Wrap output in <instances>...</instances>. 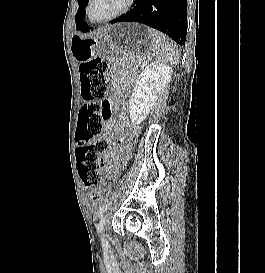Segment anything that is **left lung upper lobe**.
Returning a JSON list of instances; mask_svg holds the SVG:
<instances>
[{"instance_id":"obj_1","label":"left lung upper lobe","mask_w":265,"mask_h":273,"mask_svg":"<svg viewBox=\"0 0 265 273\" xmlns=\"http://www.w3.org/2000/svg\"><path fill=\"white\" fill-rule=\"evenodd\" d=\"M89 0H78L79 8L77 14L75 16L76 21V29L80 30V28L85 24L83 17L85 16V8L88 4Z\"/></svg>"}]
</instances>
